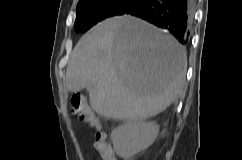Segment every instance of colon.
<instances>
[{"instance_id": "5ec220e1", "label": "colon", "mask_w": 242, "mask_h": 160, "mask_svg": "<svg viewBox=\"0 0 242 160\" xmlns=\"http://www.w3.org/2000/svg\"><path fill=\"white\" fill-rule=\"evenodd\" d=\"M71 109L73 115L79 120L89 124L98 130L95 136L94 146L98 150V153L102 160H115L112 148L106 142L105 135L100 132V123L97 117L94 115L90 107L88 106L85 98L80 94L73 95L71 99Z\"/></svg>"}]
</instances>
